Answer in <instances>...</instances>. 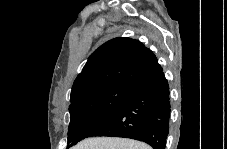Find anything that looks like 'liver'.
<instances>
[{
	"label": "liver",
	"instance_id": "liver-1",
	"mask_svg": "<svg viewBox=\"0 0 227 149\" xmlns=\"http://www.w3.org/2000/svg\"><path fill=\"white\" fill-rule=\"evenodd\" d=\"M75 149H151L145 143L132 139L96 137L85 139Z\"/></svg>",
	"mask_w": 227,
	"mask_h": 149
}]
</instances>
